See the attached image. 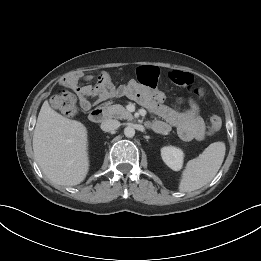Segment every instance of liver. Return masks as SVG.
<instances>
[{
  "instance_id": "6515ba94",
  "label": "liver",
  "mask_w": 261,
  "mask_h": 261,
  "mask_svg": "<svg viewBox=\"0 0 261 261\" xmlns=\"http://www.w3.org/2000/svg\"><path fill=\"white\" fill-rule=\"evenodd\" d=\"M35 159L55 184H80L89 170L87 129L79 121L53 110L48 101L40 109L33 134Z\"/></svg>"
}]
</instances>
